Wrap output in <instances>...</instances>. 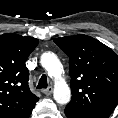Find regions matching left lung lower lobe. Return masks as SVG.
I'll list each match as a JSON object with an SVG mask.
<instances>
[{"label": "left lung lower lobe", "mask_w": 118, "mask_h": 118, "mask_svg": "<svg viewBox=\"0 0 118 118\" xmlns=\"http://www.w3.org/2000/svg\"><path fill=\"white\" fill-rule=\"evenodd\" d=\"M65 114H66L67 118H95V117H87V116L77 115V114L71 113L66 110H65Z\"/></svg>", "instance_id": "1"}]
</instances>
